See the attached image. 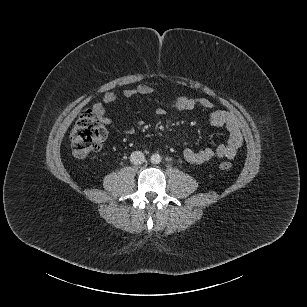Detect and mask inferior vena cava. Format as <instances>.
<instances>
[{"label": "inferior vena cava", "instance_id": "obj_1", "mask_svg": "<svg viewBox=\"0 0 307 307\" xmlns=\"http://www.w3.org/2000/svg\"><path fill=\"white\" fill-rule=\"evenodd\" d=\"M130 161L135 165H139L145 162V156L141 151H134L131 153Z\"/></svg>", "mask_w": 307, "mask_h": 307}]
</instances>
